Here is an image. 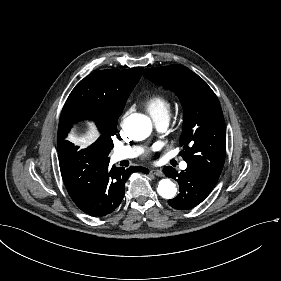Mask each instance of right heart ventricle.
I'll list each match as a JSON object with an SVG mask.
<instances>
[{
    "mask_svg": "<svg viewBox=\"0 0 281 281\" xmlns=\"http://www.w3.org/2000/svg\"><path fill=\"white\" fill-rule=\"evenodd\" d=\"M146 109L154 117L168 116L172 102L165 94L157 93L147 98L145 103Z\"/></svg>",
    "mask_w": 281,
    "mask_h": 281,
    "instance_id": "obj_1",
    "label": "right heart ventricle"
}]
</instances>
